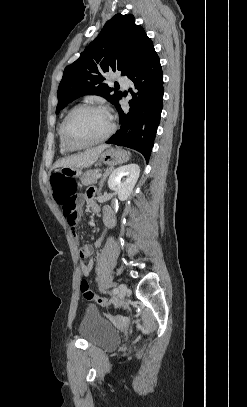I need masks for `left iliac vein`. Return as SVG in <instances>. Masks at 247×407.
<instances>
[{
  "instance_id": "left-iliac-vein-1",
  "label": "left iliac vein",
  "mask_w": 247,
  "mask_h": 407,
  "mask_svg": "<svg viewBox=\"0 0 247 407\" xmlns=\"http://www.w3.org/2000/svg\"><path fill=\"white\" fill-rule=\"evenodd\" d=\"M118 291H119V297L120 298H123L125 295H127L128 294V288H127V286H126V284H124V283H121L119 286H118Z\"/></svg>"
}]
</instances>
